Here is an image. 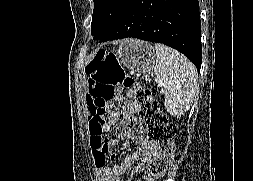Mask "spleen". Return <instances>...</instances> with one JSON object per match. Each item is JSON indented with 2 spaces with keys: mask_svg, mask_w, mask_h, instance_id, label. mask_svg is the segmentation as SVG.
I'll list each match as a JSON object with an SVG mask.
<instances>
[{
  "mask_svg": "<svg viewBox=\"0 0 253 181\" xmlns=\"http://www.w3.org/2000/svg\"><path fill=\"white\" fill-rule=\"evenodd\" d=\"M154 74L165 95L164 106L173 116L186 112L197 91V72L192 62L176 50L155 44Z\"/></svg>",
  "mask_w": 253,
  "mask_h": 181,
  "instance_id": "spleen-1",
  "label": "spleen"
}]
</instances>
